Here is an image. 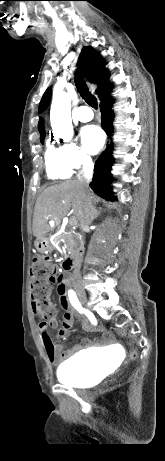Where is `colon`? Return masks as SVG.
I'll return each mask as SVG.
<instances>
[{"label":"colon","instance_id":"1","mask_svg":"<svg viewBox=\"0 0 165 461\" xmlns=\"http://www.w3.org/2000/svg\"><path fill=\"white\" fill-rule=\"evenodd\" d=\"M57 268L48 260L38 257L30 268L31 275V296L37 309L45 316L51 317L54 307L49 299L51 284H57ZM46 340L51 343V339L46 336ZM132 356H136L133 352Z\"/></svg>","mask_w":165,"mask_h":461}]
</instances>
